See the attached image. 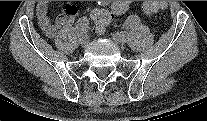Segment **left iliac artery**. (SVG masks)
<instances>
[{"label": "left iliac artery", "instance_id": "1", "mask_svg": "<svg viewBox=\"0 0 207 121\" xmlns=\"http://www.w3.org/2000/svg\"><path fill=\"white\" fill-rule=\"evenodd\" d=\"M139 17L137 15H130L124 20V26L130 27L133 23H138Z\"/></svg>", "mask_w": 207, "mask_h": 121}]
</instances>
